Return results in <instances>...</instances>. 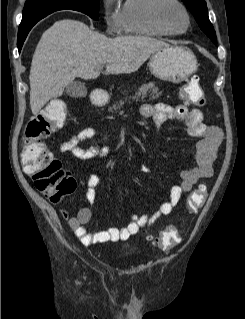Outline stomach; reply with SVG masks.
Here are the masks:
<instances>
[{"label":"stomach","mask_w":245,"mask_h":319,"mask_svg":"<svg viewBox=\"0 0 245 319\" xmlns=\"http://www.w3.org/2000/svg\"><path fill=\"white\" fill-rule=\"evenodd\" d=\"M148 66L154 76L180 82L197 70V59L185 47L167 45L152 54Z\"/></svg>","instance_id":"obj_1"}]
</instances>
